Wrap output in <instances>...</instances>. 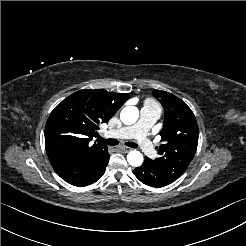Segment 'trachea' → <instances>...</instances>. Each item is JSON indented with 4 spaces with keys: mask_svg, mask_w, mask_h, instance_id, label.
<instances>
[{
    "mask_svg": "<svg viewBox=\"0 0 246 246\" xmlns=\"http://www.w3.org/2000/svg\"><path fill=\"white\" fill-rule=\"evenodd\" d=\"M98 141H100L106 145H110V146L118 145V143H119L116 139H104L102 137H98ZM125 145L132 147V148L138 147V145L133 143V142H127V143H125Z\"/></svg>",
    "mask_w": 246,
    "mask_h": 246,
    "instance_id": "3493384b",
    "label": "trachea"
}]
</instances>
